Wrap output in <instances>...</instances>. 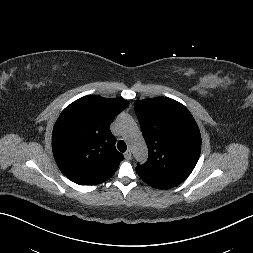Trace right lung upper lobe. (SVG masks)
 <instances>
[{"label": "right lung upper lobe", "mask_w": 253, "mask_h": 253, "mask_svg": "<svg viewBox=\"0 0 253 253\" xmlns=\"http://www.w3.org/2000/svg\"><path fill=\"white\" fill-rule=\"evenodd\" d=\"M128 105L124 99L89 95L62 111L53 128L52 151L67 178L95 185L116 172L123 155L115 148L110 124Z\"/></svg>", "instance_id": "1"}]
</instances>
